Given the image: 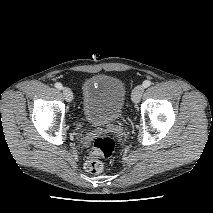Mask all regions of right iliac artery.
Instances as JSON below:
<instances>
[{"label": "right iliac artery", "mask_w": 213, "mask_h": 213, "mask_svg": "<svg viewBox=\"0 0 213 213\" xmlns=\"http://www.w3.org/2000/svg\"><path fill=\"white\" fill-rule=\"evenodd\" d=\"M55 87L58 89V90H61L63 88L62 84L57 82L55 83Z\"/></svg>", "instance_id": "82829eb1"}]
</instances>
